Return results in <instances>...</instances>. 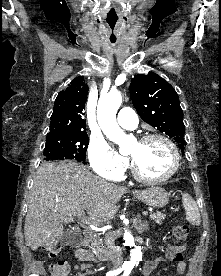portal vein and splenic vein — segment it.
<instances>
[{"label":"portal vein and splenic vein","instance_id":"portal-vein-and-splenic-vein-1","mask_svg":"<svg viewBox=\"0 0 221 276\" xmlns=\"http://www.w3.org/2000/svg\"><path fill=\"white\" fill-rule=\"evenodd\" d=\"M143 216H147L148 215V212L147 211H143L142 212ZM77 218L84 224H87V225H92V221L91 219H89L88 217H86L85 213L84 212H81V213H78L77 214Z\"/></svg>","mask_w":221,"mask_h":276}]
</instances>
